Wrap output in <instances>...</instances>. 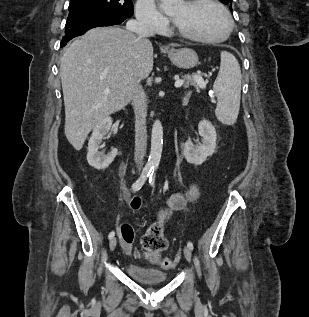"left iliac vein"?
I'll return each mask as SVG.
<instances>
[{"label": "left iliac vein", "instance_id": "obj_1", "mask_svg": "<svg viewBox=\"0 0 309 317\" xmlns=\"http://www.w3.org/2000/svg\"><path fill=\"white\" fill-rule=\"evenodd\" d=\"M183 252H184V256H185L186 260L188 262H190L191 258H192L191 249L188 246H186V247H184Z\"/></svg>", "mask_w": 309, "mask_h": 317}]
</instances>
